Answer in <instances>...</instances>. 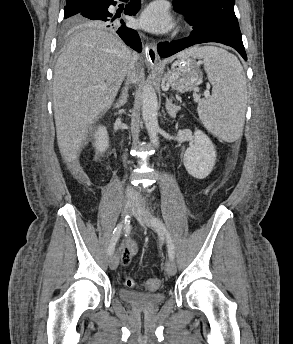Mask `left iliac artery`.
Here are the masks:
<instances>
[{"label":"left iliac artery","mask_w":293,"mask_h":344,"mask_svg":"<svg viewBox=\"0 0 293 344\" xmlns=\"http://www.w3.org/2000/svg\"><path fill=\"white\" fill-rule=\"evenodd\" d=\"M152 224L153 227L161 234H164L166 236V240H167V247H168V254L170 259H174L175 256V251H174V245L171 239V236L167 230V228L165 227L164 223L162 222V220H160L159 218H153L152 219Z\"/></svg>","instance_id":"44dca946"}]
</instances>
